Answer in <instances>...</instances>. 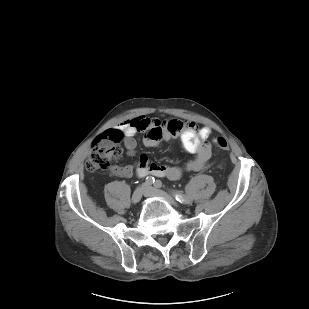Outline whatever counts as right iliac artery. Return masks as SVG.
Returning a JSON list of instances; mask_svg holds the SVG:
<instances>
[{"instance_id": "1", "label": "right iliac artery", "mask_w": 309, "mask_h": 309, "mask_svg": "<svg viewBox=\"0 0 309 309\" xmlns=\"http://www.w3.org/2000/svg\"><path fill=\"white\" fill-rule=\"evenodd\" d=\"M154 181H155L154 177L148 176V177L146 178V181H145V182H146V184L151 185V184L154 183Z\"/></svg>"}]
</instances>
